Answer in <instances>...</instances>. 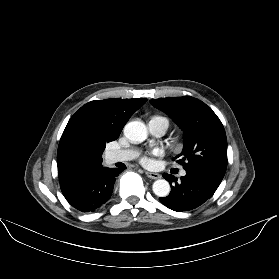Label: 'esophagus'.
Here are the masks:
<instances>
[{
	"mask_svg": "<svg viewBox=\"0 0 279 279\" xmlns=\"http://www.w3.org/2000/svg\"><path fill=\"white\" fill-rule=\"evenodd\" d=\"M145 174L147 175V177H149L151 179H159V178H161V175L158 174V173L145 172Z\"/></svg>",
	"mask_w": 279,
	"mask_h": 279,
	"instance_id": "obj_1",
	"label": "esophagus"
}]
</instances>
